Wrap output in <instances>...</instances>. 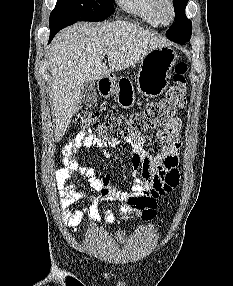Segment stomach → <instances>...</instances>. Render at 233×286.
<instances>
[{
    "label": "stomach",
    "instance_id": "obj_1",
    "mask_svg": "<svg viewBox=\"0 0 233 286\" xmlns=\"http://www.w3.org/2000/svg\"><path fill=\"white\" fill-rule=\"evenodd\" d=\"M178 56L170 46L158 47L150 51L140 62L137 74V90L144 96L157 97L169 86L171 71ZM118 102L125 107L133 103V91L116 87L111 91Z\"/></svg>",
    "mask_w": 233,
    "mask_h": 286
}]
</instances>
